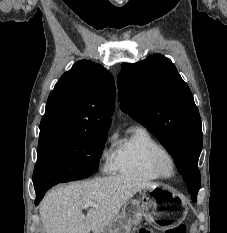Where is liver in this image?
<instances>
[{"label":"liver","instance_id":"liver-1","mask_svg":"<svg viewBox=\"0 0 227 233\" xmlns=\"http://www.w3.org/2000/svg\"><path fill=\"white\" fill-rule=\"evenodd\" d=\"M158 186L132 176H108L63 186L49 192L39 212L46 233H100L137 192ZM92 201L87 215L84 204Z\"/></svg>","mask_w":227,"mask_h":233}]
</instances>
